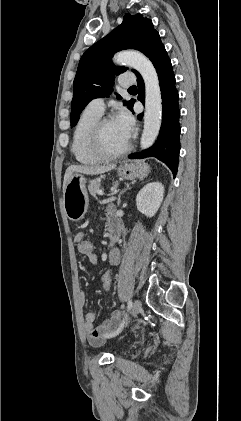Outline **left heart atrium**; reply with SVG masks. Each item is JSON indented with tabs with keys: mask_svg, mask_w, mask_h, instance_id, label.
Returning a JSON list of instances; mask_svg holds the SVG:
<instances>
[{
	"mask_svg": "<svg viewBox=\"0 0 241 421\" xmlns=\"http://www.w3.org/2000/svg\"><path fill=\"white\" fill-rule=\"evenodd\" d=\"M118 128L123 132L125 137L129 140L134 132V119L127 110H121L114 120Z\"/></svg>",
	"mask_w": 241,
	"mask_h": 421,
	"instance_id": "obj_1",
	"label": "left heart atrium"
}]
</instances>
